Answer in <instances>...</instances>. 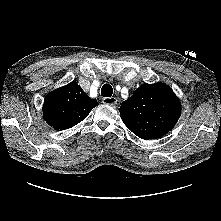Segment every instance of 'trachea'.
Listing matches in <instances>:
<instances>
[{"mask_svg": "<svg viewBox=\"0 0 221 221\" xmlns=\"http://www.w3.org/2000/svg\"><path fill=\"white\" fill-rule=\"evenodd\" d=\"M112 94H113V89H112L111 85L104 84L101 88V95L103 97H111Z\"/></svg>", "mask_w": 221, "mask_h": 221, "instance_id": "obj_1", "label": "trachea"}]
</instances>
